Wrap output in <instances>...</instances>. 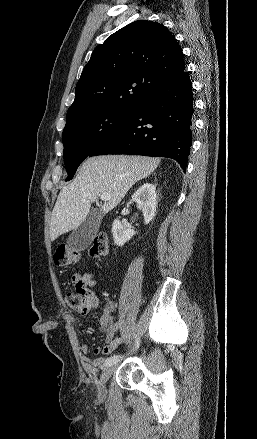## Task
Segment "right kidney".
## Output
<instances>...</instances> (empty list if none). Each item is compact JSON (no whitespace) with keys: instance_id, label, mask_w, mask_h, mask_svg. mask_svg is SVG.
<instances>
[{"instance_id":"obj_1","label":"right kidney","mask_w":257,"mask_h":439,"mask_svg":"<svg viewBox=\"0 0 257 439\" xmlns=\"http://www.w3.org/2000/svg\"><path fill=\"white\" fill-rule=\"evenodd\" d=\"M132 200L142 209L144 223L148 224L154 219L157 200L156 185L145 183L132 195ZM114 242L118 246H123L134 235L135 231L131 226L123 224L119 219H115L112 225Z\"/></svg>"}]
</instances>
